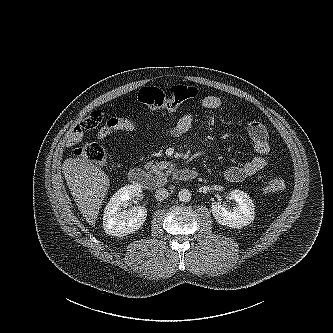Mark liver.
I'll list each match as a JSON object with an SVG mask.
<instances>
[{
	"label": "liver",
	"mask_w": 333,
	"mask_h": 333,
	"mask_svg": "<svg viewBox=\"0 0 333 333\" xmlns=\"http://www.w3.org/2000/svg\"><path fill=\"white\" fill-rule=\"evenodd\" d=\"M63 174L79 211L86 222L95 225L99 209L110 186L109 177L87 156L67 158Z\"/></svg>",
	"instance_id": "1"
}]
</instances>
